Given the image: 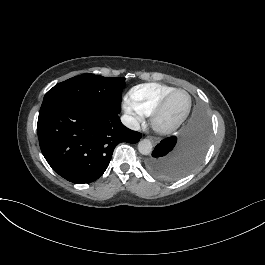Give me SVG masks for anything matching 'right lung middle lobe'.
<instances>
[{"label":"right lung middle lobe","mask_w":265,"mask_h":265,"mask_svg":"<svg viewBox=\"0 0 265 265\" xmlns=\"http://www.w3.org/2000/svg\"><path fill=\"white\" fill-rule=\"evenodd\" d=\"M124 87L125 78L83 74L50 89L44 96L40 110L58 102L71 101L96 112L119 114Z\"/></svg>","instance_id":"dd1d6c3e"}]
</instances>
